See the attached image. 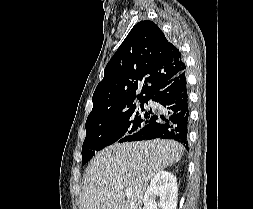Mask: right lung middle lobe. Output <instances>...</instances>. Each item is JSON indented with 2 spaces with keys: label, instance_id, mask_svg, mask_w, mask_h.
<instances>
[{
  "label": "right lung middle lobe",
  "instance_id": "dd1d6c3e",
  "mask_svg": "<svg viewBox=\"0 0 253 209\" xmlns=\"http://www.w3.org/2000/svg\"><path fill=\"white\" fill-rule=\"evenodd\" d=\"M144 103L127 110L87 118L86 138L82 146V164H86L95 154L115 141L125 142L149 121L151 110L145 111Z\"/></svg>",
  "mask_w": 253,
  "mask_h": 209
}]
</instances>
